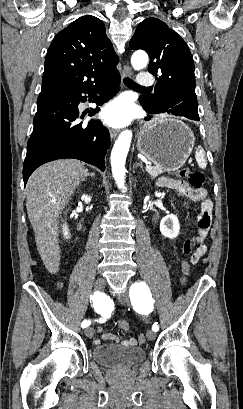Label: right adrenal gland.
<instances>
[{
	"label": "right adrenal gland",
	"mask_w": 243,
	"mask_h": 409,
	"mask_svg": "<svg viewBox=\"0 0 243 409\" xmlns=\"http://www.w3.org/2000/svg\"><path fill=\"white\" fill-rule=\"evenodd\" d=\"M87 176L94 177V173H88Z\"/></svg>",
	"instance_id": "1"
}]
</instances>
